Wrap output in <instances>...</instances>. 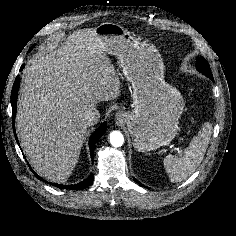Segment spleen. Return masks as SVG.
<instances>
[{"label": "spleen", "mask_w": 236, "mask_h": 236, "mask_svg": "<svg viewBox=\"0 0 236 236\" xmlns=\"http://www.w3.org/2000/svg\"><path fill=\"white\" fill-rule=\"evenodd\" d=\"M211 124L205 123L202 131L194 137L183 156L168 155L164 166L171 182H180L194 173L204 158L211 137Z\"/></svg>", "instance_id": "spleen-1"}]
</instances>
